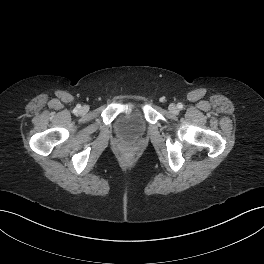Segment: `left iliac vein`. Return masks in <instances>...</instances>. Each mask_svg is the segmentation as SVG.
I'll return each instance as SVG.
<instances>
[{"mask_svg":"<svg viewBox=\"0 0 264 264\" xmlns=\"http://www.w3.org/2000/svg\"><path fill=\"white\" fill-rule=\"evenodd\" d=\"M169 111L172 113H177L178 112V108L175 104H170L169 105Z\"/></svg>","mask_w":264,"mask_h":264,"instance_id":"1","label":"left iliac vein"}]
</instances>
